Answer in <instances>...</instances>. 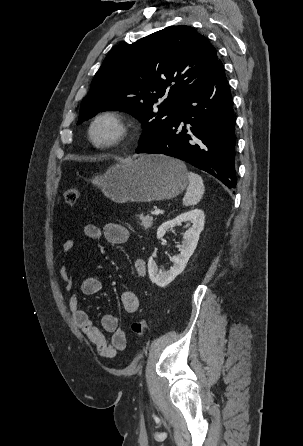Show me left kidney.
I'll use <instances>...</instances> for the list:
<instances>
[{
  "mask_svg": "<svg viewBox=\"0 0 303 446\" xmlns=\"http://www.w3.org/2000/svg\"><path fill=\"white\" fill-rule=\"evenodd\" d=\"M205 216L201 209H194L182 213L172 220L164 222L157 230V239L162 238L166 232L175 227L186 223L187 231L184 233L182 245H177L180 254L173 256V266L168 271H162L158 268L156 262L151 256L148 260V273L151 281L159 287H165L171 283L185 269L186 264L194 253L201 231L204 228ZM192 223V226H191Z\"/></svg>",
  "mask_w": 303,
  "mask_h": 446,
  "instance_id": "1",
  "label": "left kidney"
}]
</instances>
